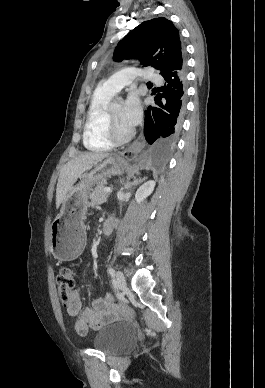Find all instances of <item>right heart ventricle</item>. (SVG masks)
<instances>
[{"label":"right heart ventricle","instance_id":"right-heart-ventricle-1","mask_svg":"<svg viewBox=\"0 0 265 388\" xmlns=\"http://www.w3.org/2000/svg\"><path fill=\"white\" fill-rule=\"evenodd\" d=\"M112 98H115V91L94 92L84 128V142L91 150L104 151L113 147V142L103 132L104 114Z\"/></svg>","mask_w":265,"mask_h":388}]
</instances>
